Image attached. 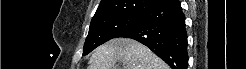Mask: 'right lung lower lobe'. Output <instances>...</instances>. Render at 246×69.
Wrapping results in <instances>:
<instances>
[{"label": "right lung lower lobe", "mask_w": 246, "mask_h": 69, "mask_svg": "<svg viewBox=\"0 0 246 69\" xmlns=\"http://www.w3.org/2000/svg\"><path fill=\"white\" fill-rule=\"evenodd\" d=\"M118 37L139 41L172 69H187L185 17L178 0H168L142 13V20Z\"/></svg>", "instance_id": "98d812e1"}]
</instances>
